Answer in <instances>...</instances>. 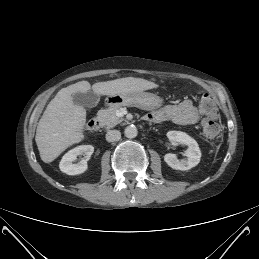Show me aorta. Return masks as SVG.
<instances>
[{"mask_svg":"<svg viewBox=\"0 0 259 259\" xmlns=\"http://www.w3.org/2000/svg\"><path fill=\"white\" fill-rule=\"evenodd\" d=\"M124 134L127 138H135L138 134L137 128L134 125H129L125 128Z\"/></svg>","mask_w":259,"mask_h":259,"instance_id":"1","label":"aorta"}]
</instances>
